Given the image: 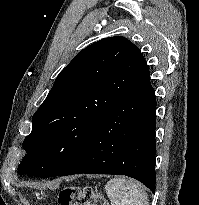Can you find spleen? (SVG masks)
I'll return each mask as SVG.
<instances>
[{
    "label": "spleen",
    "instance_id": "1",
    "mask_svg": "<svg viewBox=\"0 0 199 205\" xmlns=\"http://www.w3.org/2000/svg\"><path fill=\"white\" fill-rule=\"evenodd\" d=\"M112 205H149L144 187L131 179L113 178L105 186Z\"/></svg>",
    "mask_w": 199,
    "mask_h": 205
}]
</instances>
